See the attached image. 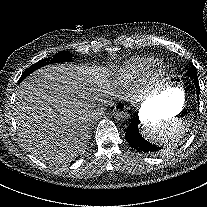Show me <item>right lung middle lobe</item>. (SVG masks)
Here are the masks:
<instances>
[{
  "label": "right lung middle lobe",
  "instance_id": "right-lung-middle-lobe-1",
  "mask_svg": "<svg viewBox=\"0 0 207 207\" xmlns=\"http://www.w3.org/2000/svg\"><path fill=\"white\" fill-rule=\"evenodd\" d=\"M72 56L73 54L68 51H61L53 55V57H49V58L38 61L37 63L31 65L29 68L25 70V72L20 77L18 84L35 70L48 64L59 63V62H69L71 61Z\"/></svg>",
  "mask_w": 207,
  "mask_h": 207
}]
</instances>
